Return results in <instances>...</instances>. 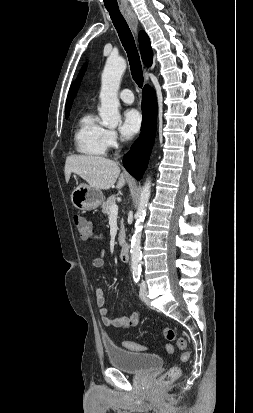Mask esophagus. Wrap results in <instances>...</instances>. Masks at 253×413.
I'll return each instance as SVG.
<instances>
[{
	"label": "esophagus",
	"instance_id": "obj_1",
	"mask_svg": "<svg viewBox=\"0 0 253 413\" xmlns=\"http://www.w3.org/2000/svg\"><path fill=\"white\" fill-rule=\"evenodd\" d=\"M124 15L126 19L128 20L131 28L133 29L134 33L137 35V30H138V20L134 12L132 11H125ZM148 77L147 74H145V82L147 83Z\"/></svg>",
	"mask_w": 253,
	"mask_h": 413
}]
</instances>
